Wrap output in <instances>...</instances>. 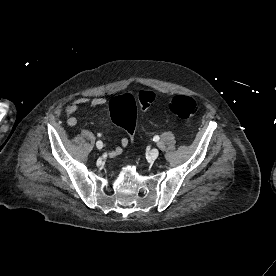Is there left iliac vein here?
Segmentation results:
<instances>
[{
    "mask_svg": "<svg viewBox=\"0 0 276 276\" xmlns=\"http://www.w3.org/2000/svg\"><path fill=\"white\" fill-rule=\"evenodd\" d=\"M150 155H151V157L153 158V159H156L157 157H158V155H159V151H158V149H152L151 150V152H150Z\"/></svg>",
    "mask_w": 276,
    "mask_h": 276,
    "instance_id": "obj_1",
    "label": "left iliac vein"
}]
</instances>
